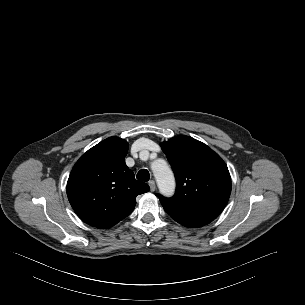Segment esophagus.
<instances>
[{"label":"esophagus","mask_w":305,"mask_h":305,"mask_svg":"<svg viewBox=\"0 0 305 305\" xmlns=\"http://www.w3.org/2000/svg\"><path fill=\"white\" fill-rule=\"evenodd\" d=\"M150 190L153 192L156 189V184L154 180L149 181Z\"/></svg>","instance_id":"34e87169"}]
</instances>
